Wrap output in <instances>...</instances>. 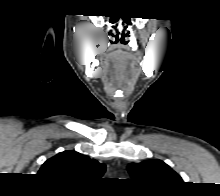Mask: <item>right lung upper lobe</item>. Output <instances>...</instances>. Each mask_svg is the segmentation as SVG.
I'll return each mask as SVG.
<instances>
[{
  "label": "right lung upper lobe",
  "instance_id": "obj_1",
  "mask_svg": "<svg viewBox=\"0 0 220 196\" xmlns=\"http://www.w3.org/2000/svg\"><path fill=\"white\" fill-rule=\"evenodd\" d=\"M105 164H100L76 151H64L48 159L38 174L55 182L73 185H92L104 174Z\"/></svg>",
  "mask_w": 220,
  "mask_h": 196
}]
</instances>
